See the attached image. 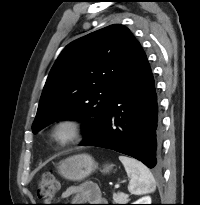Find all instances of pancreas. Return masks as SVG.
I'll list each match as a JSON object with an SVG mask.
<instances>
[{"label":"pancreas","instance_id":"1","mask_svg":"<svg viewBox=\"0 0 200 205\" xmlns=\"http://www.w3.org/2000/svg\"><path fill=\"white\" fill-rule=\"evenodd\" d=\"M128 197L129 195L123 192H118L117 194L116 193L113 194V200L117 204H125L128 201Z\"/></svg>","mask_w":200,"mask_h":205}]
</instances>
